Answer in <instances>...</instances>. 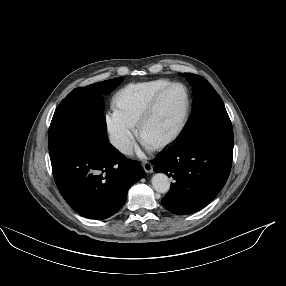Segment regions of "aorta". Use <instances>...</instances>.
I'll return each instance as SVG.
<instances>
[{
  "instance_id": "aorta-1",
  "label": "aorta",
  "mask_w": 286,
  "mask_h": 286,
  "mask_svg": "<svg viewBox=\"0 0 286 286\" xmlns=\"http://www.w3.org/2000/svg\"><path fill=\"white\" fill-rule=\"evenodd\" d=\"M151 182L154 190L159 193H167L170 189V180L168 176L163 173L153 175Z\"/></svg>"
}]
</instances>
